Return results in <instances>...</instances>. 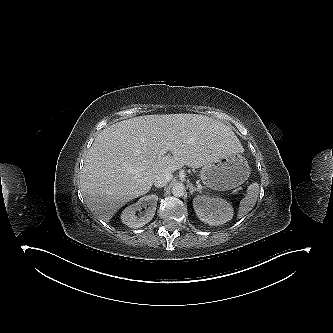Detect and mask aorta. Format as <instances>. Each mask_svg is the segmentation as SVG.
I'll list each match as a JSON object with an SVG mask.
<instances>
[{
  "instance_id": "aorta-1",
  "label": "aorta",
  "mask_w": 333,
  "mask_h": 333,
  "mask_svg": "<svg viewBox=\"0 0 333 333\" xmlns=\"http://www.w3.org/2000/svg\"><path fill=\"white\" fill-rule=\"evenodd\" d=\"M172 194L176 197H181L185 194V186L182 183H177L172 187Z\"/></svg>"
}]
</instances>
